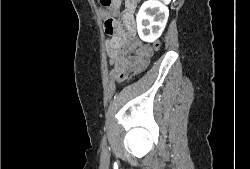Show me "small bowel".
<instances>
[{"label":"small bowel","instance_id":"small-bowel-1","mask_svg":"<svg viewBox=\"0 0 250 169\" xmlns=\"http://www.w3.org/2000/svg\"><path fill=\"white\" fill-rule=\"evenodd\" d=\"M118 8L119 3L111 8L106 17V22L109 20L117 21ZM124 23L129 32L132 25V17L129 13L125 14ZM106 49L112 66L111 77L118 82L127 80L129 77H126V72H132V67H138L147 62L151 56L150 49L140 47L135 39L130 36H125V39L114 36L107 41Z\"/></svg>","mask_w":250,"mask_h":169}]
</instances>
